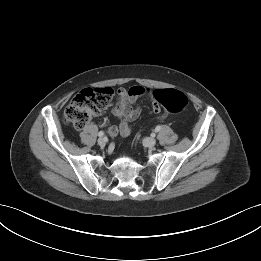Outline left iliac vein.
Returning a JSON list of instances; mask_svg holds the SVG:
<instances>
[{
    "label": "left iliac vein",
    "instance_id": "4c4485c4",
    "mask_svg": "<svg viewBox=\"0 0 261 261\" xmlns=\"http://www.w3.org/2000/svg\"><path fill=\"white\" fill-rule=\"evenodd\" d=\"M144 144L147 147H153L156 144V139L153 137H148L144 139Z\"/></svg>",
    "mask_w": 261,
    "mask_h": 261
}]
</instances>
